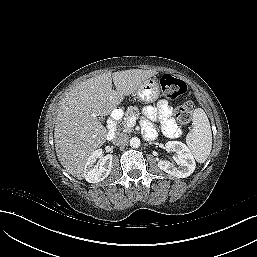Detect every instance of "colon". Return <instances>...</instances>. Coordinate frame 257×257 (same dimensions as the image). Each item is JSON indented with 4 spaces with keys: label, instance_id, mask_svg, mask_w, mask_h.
Here are the masks:
<instances>
[{
    "label": "colon",
    "instance_id": "5ec220e1",
    "mask_svg": "<svg viewBox=\"0 0 257 257\" xmlns=\"http://www.w3.org/2000/svg\"><path fill=\"white\" fill-rule=\"evenodd\" d=\"M159 84L165 97L174 99L185 94L187 86L184 81L175 78L169 74H163L159 77ZM194 105L190 101H182L176 107V117L181 124L190 121Z\"/></svg>",
    "mask_w": 257,
    "mask_h": 257
}]
</instances>
